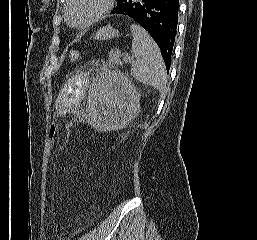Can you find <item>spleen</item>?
I'll return each mask as SVG.
<instances>
[{
    "label": "spleen",
    "mask_w": 257,
    "mask_h": 240,
    "mask_svg": "<svg viewBox=\"0 0 257 240\" xmlns=\"http://www.w3.org/2000/svg\"><path fill=\"white\" fill-rule=\"evenodd\" d=\"M130 29L133 34L132 54L136 59L132 64L131 75L144 85L157 90L164 89L167 77L160 49L139 25L132 24Z\"/></svg>",
    "instance_id": "3e777b00"
}]
</instances>
